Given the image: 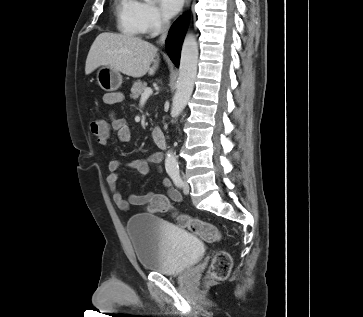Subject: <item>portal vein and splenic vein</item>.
<instances>
[{"mask_svg": "<svg viewBox=\"0 0 363 317\" xmlns=\"http://www.w3.org/2000/svg\"><path fill=\"white\" fill-rule=\"evenodd\" d=\"M152 93H153V90L150 87H147L144 90V92L141 94V99H147Z\"/></svg>", "mask_w": 363, "mask_h": 317, "instance_id": "18ae733b", "label": "portal vein and splenic vein"}]
</instances>
